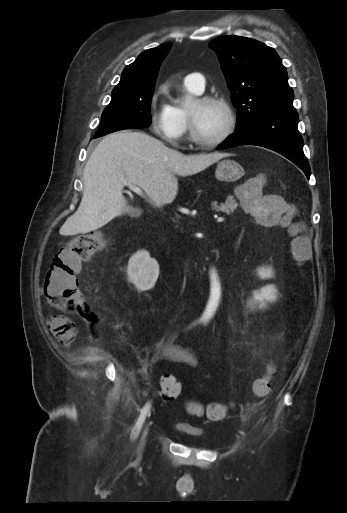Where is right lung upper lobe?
<instances>
[{
  "mask_svg": "<svg viewBox=\"0 0 347 513\" xmlns=\"http://www.w3.org/2000/svg\"><path fill=\"white\" fill-rule=\"evenodd\" d=\"M171 45V43H164L142 52L132 64L123 70L121 80L114 90L155 86L159 67Z\"/></svg>",
  "mask_w": 347,
  "mask_h": 513,
  "instance_id": "obj_1",
  "label": "right lung upper lobe"
}]
</instances>
